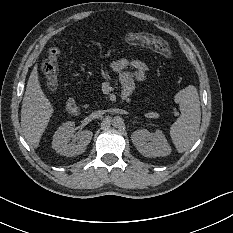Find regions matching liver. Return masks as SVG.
Wrapping results in <instances>:
<instances>
[{
  "label": "liver",
  "mask_w": 233,
  "mask_h": 233,
  "mask_svg": "<svg viewBox=\"0 0 233 233\" xmlns=\"http://www.w3.org/2000/svg\"><path fill=\"white\" fill-rule=\"evenodd\" d=\"M38 66H34L27 81L21 107V127L28 143L35 148L48 125L54 109L44 94L38 75Z\"/></svg>",
  "instance_id": "liver-1"
}]
</instances>
